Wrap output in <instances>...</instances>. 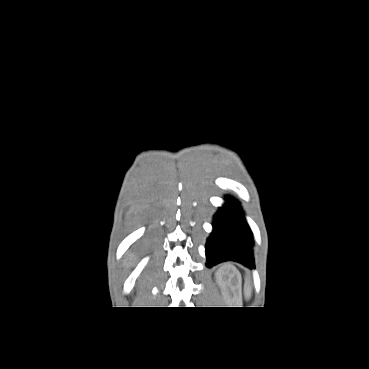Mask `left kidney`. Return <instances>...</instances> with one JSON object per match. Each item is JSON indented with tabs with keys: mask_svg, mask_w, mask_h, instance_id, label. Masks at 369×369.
I'll return each instance as SVG.
<instances>
[{
	"mask_svg": "<svg viewBox=\"0 0 369 369\" xmlns=\"http://www.w3.org/2000/svg\"><path fill=\"white\" fill-rule=\"evenodd\" d=\"M216 282L223 290H237L240 283V274L233 266L221 267L216 273Z\"/></svg>",
	"mask_w": 369,
	"mask_h": 369,
	"instance_id": "left-kidney-1",
	"label": "left kidney"
}]
</instances>
